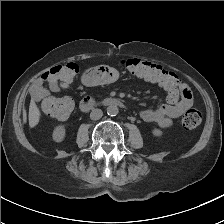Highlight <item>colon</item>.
<instances>
[{
	"instance_id": "colon-1",
	"label": "colon",
	"mask_w": 224,
	"mask_h": 224,
	"mask_svg": "<svg viewBox=\"0 0 224 224\" xmlns=\"http://www.w3.org/2000/svg\"><path fill=\"white\" fill-rule=\"evenodd\" d=\"M122 64L127 68L130 74L143 78L146 81L156 83L159 86H166L178 79L177 75L163 69L161 66L132 58L122 61ZM54 74L58 75L65 83H70L77 75L79 68L75 62H66L52 68ZM74 107L73 100L69 97L55 98L49 97L43 103L45 112L58 120H65L69 117ZM202 122V114L198 109H188L182 119L183 126L188 129L198 127Z\"/></svg>"
}]
</instances>
